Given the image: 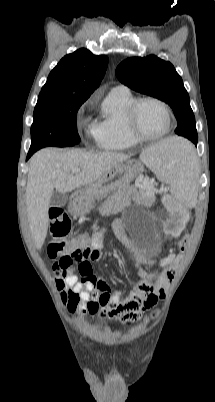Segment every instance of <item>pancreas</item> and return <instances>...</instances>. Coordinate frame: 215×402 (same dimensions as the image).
<instances>
[{"label": "pancreas", "instance_id": "obj_1", "mask_svg": "<svg viewBox=\"0 0 215 402\" xmlns=\"http://www.w3.org/2000/svg\"><path fill=\"white\" fill-rule=\"evenodd\" d=\"M146 190L154 191V185H142L138 187H126L116 190L98 207V211L102 216H109L121 212L125 207L129 206L132 196L135 192L145 194Z\"/></svg>", "mask_w": 215, "mask_h": 402}]
</instances>
